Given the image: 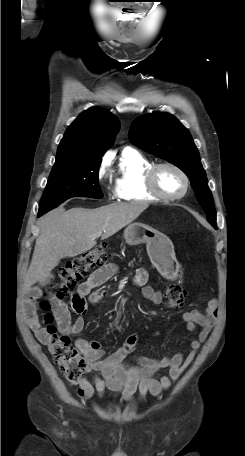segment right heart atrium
<instances>
[{"mask_svg":"<svg viewBox=\"0 0 245 456\" xmlns=\"http://www.w3.org/2000/svg\"><path fill=\"white\" fill-rule=\"evenodd\" d=\"M108 166L109 162L107 159H103L98 167L97 170V179L100 183L104 184L105 189L110 197L116 196L117 191L115 187L107 186L105 185L104 181L107 178L108 175Z\"/></svg>","mask_w":245,"mask_h":456,"instance_id":"obj_1","label":"right heart atrium"}]
</instances>
